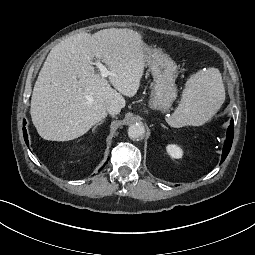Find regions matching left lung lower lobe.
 <instances>
[{
  "mask_svg": "<svg viewBox=\"0 0 255 255\" xmlns=\"http://www.w3.org/2000/svg\"><path fill=\"white\" fill-rule=\"evenodd\" d=\"M233 131H234V125H233V120H231L230 126L227 131L226 142H225L224 148H223L221 163L225 160V158L227 157V155L230 151L232 141H233Z\"/></svg>",
  "mask_w": 255,
  "mask_h": 255,
  "instance_id": "obj_1",
  "label": "left lung lower lobe"
}]
</instances>
